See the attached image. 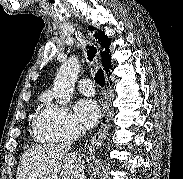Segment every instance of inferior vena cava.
<instances>
[{
    "mask_svg": "<svg viewBox=\"0 0 183 179\" xmlns=\"http://www.w3.org/2000/svg\"><path fill=\"white\" fill-rule=\"evenodd\" d=\"M81 132V129H71L68 132L65 141L60 144V147L65 150H70L72 143L79 138ZM73 179H85L84 163L82 162L81 157L79 155H76L75 172Z\"/></svg>",
    "mask_w": 183,
    "mask_h": 179,
    "instance_id": "1",
    "label": "inferior vena cava"
}]
</instances>
